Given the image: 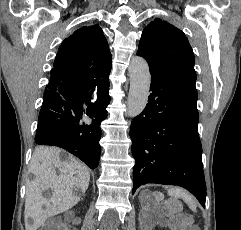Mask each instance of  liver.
Segmentation results:
<instances>
[{"label":"liver","instance_id":"1","mask_svg":"<svg viewBox=\"0 0 241 230\" xmlns=\"http://www.w3.org/2000/svg\"><path fill=\"white\" fill-rule=\"evenodd\" d=\"M62 153L61 149L55 147L40 146L32 155L29 171L34 179L27 183L26 189V230H37L49 216L74 207L80 200L76 190L83 194L89 186L90 172L87 166L70 155L62 157ZM46 188L52 190L51 199L42 196Z\"/></svg>","mask_w":241,"mask_h":230}]
</instances>
